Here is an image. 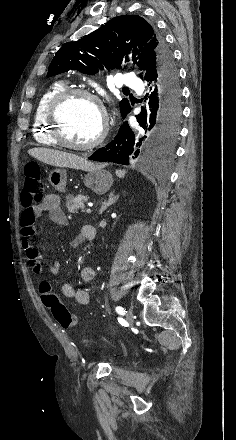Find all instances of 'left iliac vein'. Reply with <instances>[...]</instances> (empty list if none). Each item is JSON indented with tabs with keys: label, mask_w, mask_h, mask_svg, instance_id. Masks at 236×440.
Here are the masks:
<instances>
[{
	"label": "left iliac vein",
	"mask_w": 236,
	"mask_h": 440,
	"mask_svg": "<svg viewBox=\"0 0 236 440\" xmlns=\"http://www.w3.org/2000/svg\"><path fill=\"white\" fill-rule=\"evenodd\" d=\"M126 320L129 323V325H133L134 323L133 311L130 308L127 310Z\"/></svg>",
	"instance_id": "left-iliac-vein-1"
}]
</instances>
